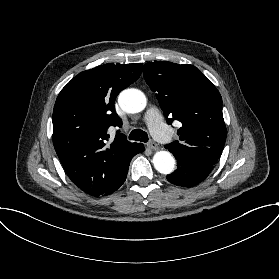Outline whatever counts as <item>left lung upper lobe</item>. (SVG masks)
I'll return each mask as SVG.
<instances>
[{
  "label": "left lung upper lobe",
  "instance_id": "left-lung-upper-lobe-1",
  "mask_svg": "<svg viewBox=\"0 0 279 279\" xmlns=\"http://www.w3.org/2000/svg\"><path fill=\"white\" fill-rule=\"evenodd\" d=\"M143 74L169 124L182 123L180 141L165 145L169 151L214 165L223 150L227 130L222 98L213 83L193 65L167 61L144 65Z\"/></svg>",
  "mask_w": 279,
  "mask_h": 279
}]
</instances>
